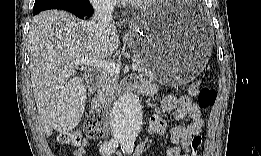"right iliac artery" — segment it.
<instances>
[{
    "instance_id": "1",
    "label": "right iliac artery",
    "mask_w": 261,
    "mask_h": 156,
    "mask_svg": "<svg viewBox=\"0 0 261 156\" xmlns=\"http://www.w3.org/2000/svg\"><path fill=\"white\" fill-rule=\"evenodd\" d=\"M119 143V139H111L110 141H107L101 145L100 152L103 155H112L115 149L118 147Z\"/></svg>"
}]
</instances>
